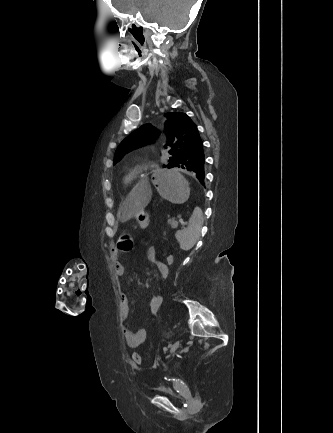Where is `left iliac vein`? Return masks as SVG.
I'll return each mask as SVG.
<instances>
[{
    "label": "left iliac vein",
    "instance_id": "4c4485c4",
    "mask_svg": "<svg viewBox=\"0 0 333 433\" xmlns=\"http://www.w3.org/2000/svg\"><path fill=\"white\" fill-rule=\"evenodd\" d=\"M179 345H180V342H179V341H176V342L172 345V347H171V349H170V354L175 353L176 350L178 349Z\"/></svg>",
    "mask_w": 333,
    "mask_h": 433
}]
</instances>
